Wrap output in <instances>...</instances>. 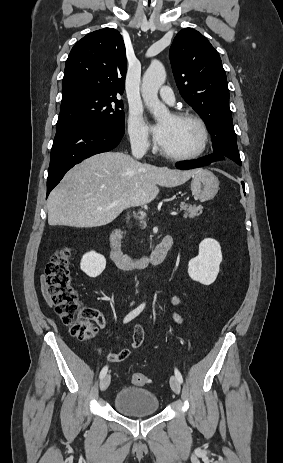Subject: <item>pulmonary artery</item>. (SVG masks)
I'll use <instances>...</instances> for the list:
<instances>
[{
  "label": "pulmonary artery",
  "mask_w": 283,
  "mask_h": 463,
  "mask_svg": "<svg viewBox=\"0 0 283 463\" xmlns=\"http://www.w3.org/2000/svg\"><path fill=\"white\" fill-rule=\"evenodd\" d=\"M160 97L168 104H173L175 101L174 93L168 86H163L160 89Z\"/></svg>",
  "instance_id": "e3ab8cb5"
}]
</instances>
